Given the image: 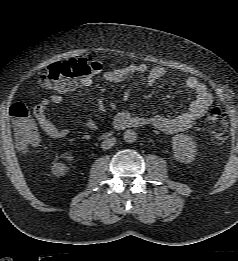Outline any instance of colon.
Here are the masks:
<instances>
[{"mask_svg":"<svg viewBox=\"0 0 238 261\" xmlns=\"http://www.w3.org/2000/svg\"><path fill=\"white\" fill-rule=\"evenodd\" d=\"M102 66L98 61L87 58H73L51 64L41 76L43 86L55 91H68L74 84L95 75ZM16 144L19 150L27 153L39 143L40 136L28 108L22 103L14 104L10 109ZM208 125L213 138L222 142L227 137L228 122L226 115L214 107L208 114Z\"/></svg>","mask_w":238,"mask_h":261,"instance_id":"5ec220e1","label":"colon"}]
</instances>
